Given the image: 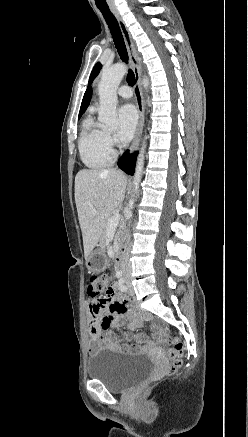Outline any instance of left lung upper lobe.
I'll return each instance as SVG.
<instances>
[{
  "label": "left lung upper lobe",
  "instance_id": "1",
  "mask_svg": "<svg viewBox=\"0 0 248 437\" xmlns=\"http://www.w3.org/2000/svg\"><path fill=\"white\" fill-rule=\"evenodd\" d=\"M100 69H101V64H100V63H97V64L94 66V68H93V70H92V73H91V75H90V79H89L88 86H90V84L92 83V81L94 80V78L98 75Z\"/></svg>",
  "mask_w": 248,
  "mask_h": 437
}]
</instances>
